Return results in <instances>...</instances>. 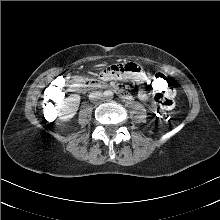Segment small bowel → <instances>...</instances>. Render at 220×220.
I'll return each mask as SVG.
<instances>
[{
    "label": "small bowel",
    "instance_id": "c3829d8e",
    "mask_svg": "<svg viewBox=\"0 0 220 220\" xmlns=\"http://www.w3.org/2000/svg\"><path fill=\"white\" fill-rule=\"evenodd\" d=\"M147 74L141 69L140 65L135 64L133 61H128L125 63H119L110 68H104L99 71L98 77H93L91 79V84L93 86L103 85L109 80H122L124 78L132 79L136 82L143 83ZM155 95H164L174 98L175 90L169 85L168 90L162 94ZM127 99H130L131 96L127 93ZM150 95L146 90H143L139 93V99L142 101L149 100Z\"/></svg>",
    "mask_w": 220,
    "mask_h": 220
}]
</instances>
